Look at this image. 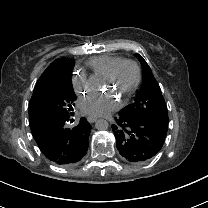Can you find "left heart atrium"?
I'll use <instances>...</instances> for the list:
<instances>
[{
  "label": "left heart atrium",
  "instance_id": "obj_1",
  "mask_svg": "<svg viewBox=\"0 0 208 208\" xmlns=\"http://www.w3.org/2000/svg\"><path fill=\"white\" fill-rule=\"evenodd\" d=\"M79 105L83 113L93 116H105L115 108L109 101L95 99L92 96L81 100Z\"/></svg>",
  "mask_w": 208,
  "mask_h": 208
}]
</instances>
